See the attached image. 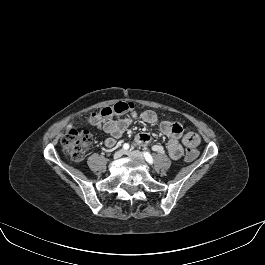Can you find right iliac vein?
Masks as SVG:
<instances>
[{
	"instance_id": "63e3f726",
	"label": "right iliac vein",
	"mask_w": 265,
	"mask_h": 265,
	"mask_svg": "<svg viewBox=\"0 0 265 265\" xmlns=\"http://www.w3.org/2000/svg\"><path fill=\"white\" fill-rule=\"evenodd\" d=\"M124 154L123 150H118L114 153V159H119Z\"/></svg>"
}]
</instances>
